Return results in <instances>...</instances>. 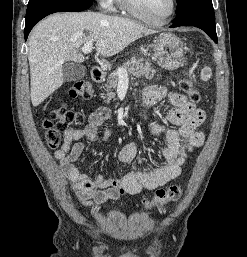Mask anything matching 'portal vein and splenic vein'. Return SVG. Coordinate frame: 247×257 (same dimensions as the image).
I'll return each instance as SVG.
<instances>
[{"mask_svg": "<svg viewBox=\"0 0 247 257\" xmlns=\"http://www.w3.org/2000/svg\"><path fill=\"white\" fill-rule=\"evenodd\" d=\"M92 49H93V42L88 41L82 47V52L85 53V54L90 53L92 51ZM117 75H118L119 80L128 81V73L126 72L125 69L118 68L117 69Z\"/></svg>", "mask_w": 247, "mask_h": 257, "instance_id": "1", "label": "portal vein and splenic vein"}]
</instances>
